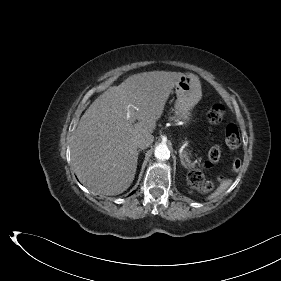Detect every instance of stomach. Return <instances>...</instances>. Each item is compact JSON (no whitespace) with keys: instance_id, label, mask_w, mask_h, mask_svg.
I'll use <instances>...</instances> for the list:
<instances>
[{"instance_id":"obj_1","label":"stomach","mask_w":281,"mask_h":281,"mask_svg":"<svg viewBox=\"0 0 281 281\" xmlns=\"http://www.w3.org/2000/svg\"><path fill=\"white\" fill-rule=\"evenodd\" d=\"M177 99L175 101V113L178 119L188 122L191 118L192 108L199 102L202 96L199 78L191 73L183 74L175 85Z\"/></svg>"}]
</instances>
